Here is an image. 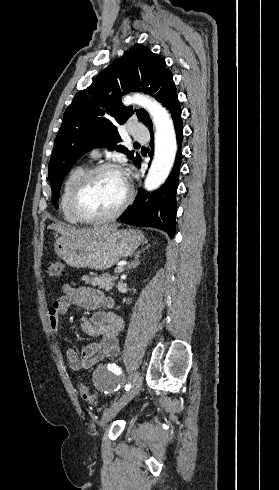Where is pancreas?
<instances>
[{"label": "pancreas", "instance_id": "cf45deb5", "mask_svg": "<svg viewBox=\"0 0 279 490\" xmlns=\"http://www.w3.org/2000/svg\"><path fill=\"white\" fill-rule=\"evenodd\" d=\"M119 274H103V276H97V274H89V276H83L81 280L85 284H92V286H98V288H105V290H111L114 286L115 280H118Z\"/></svg>", "mask_w": 279, "mask_h": 490}]
</instances>
